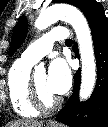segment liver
I'll return each instance as SVG.
<instances>
[{"label": "liver", "mask_w": 108, "mask_h": 127, "mask_svg": "<svg viewBox=\"0 0 108 127\" xmlns=\"http://www.w3.org/2000/svg\"><path fill=\"white\" fill-rule=\"evenodd\" d=\"M6 127H43V122L36 120L21 119L8 123Z\"/></svg>", "instance_id": "obj_1"}]
</instances>
